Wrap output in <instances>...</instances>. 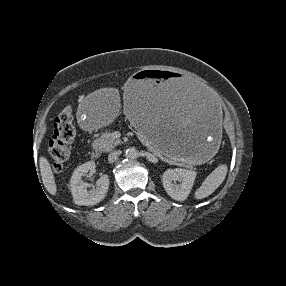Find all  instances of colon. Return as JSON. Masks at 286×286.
<instances>
[{"mask_svg": "<svg viewBox=\"0 0 286 286\" xmlns=\"http://www.w3.org/2000/svg\"><path fill=\"white\" fill-rule=\"evenodd\" d=\"M75 137L76 127L73 110L70 105H67L57 116L54 124V135L49 141V161L54 172H60L69 160Z\"/></svg>", "mask_w": 286, "mask_h": 286, "instance_id": "obj_1", "label": "colon"}]
</instances>
